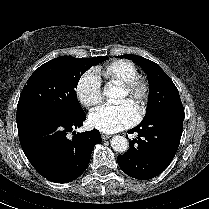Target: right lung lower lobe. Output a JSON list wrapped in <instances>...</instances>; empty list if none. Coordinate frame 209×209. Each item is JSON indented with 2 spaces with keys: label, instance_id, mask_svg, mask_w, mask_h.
<instances>
[{
  "label": "right lung lower lobe",
  "instance_id": "1",
  "mask_svg": "<svg viewBox=\"0 0 209 209\" xmlns=\"http://www.w3.org/2000/svg\"><path fill=\"white\" fill-rule=\"evenodd\" d=\"M85 119L84 111L46 115L18 127L23 152L43 177L55 183L71 182L87 168L94 145L102 142L100 132H73L72 139L67 137Z\"/></svg>",
  "mask_w": 209,
  "mask_h": 209
}]
</instances>
